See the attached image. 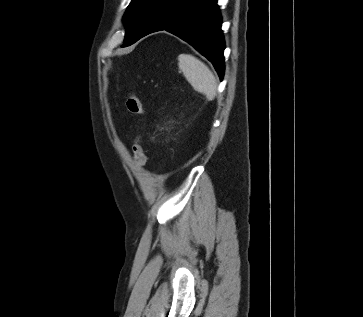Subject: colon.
Here are the masks:
<instances>
[{
    "mask_svg": "<svg viewBox=\"0 0 363 317\" xmlns=\"http://www.w3.org/2000/svg\"><path fill=\"white\" fill-rule=\"evenodd\" d=\"M126 106L131 114L141 115L143 113L141 99L136 94H130L127 97ZM133 159L139 165H142L146 159L144 148L139 137L133 145Z\"/></svg>",
    "mask_w": 363,
    "mask_h": 317,
    "instance_id": "obj_1",
    "label": "colon"
}]
</instances>
